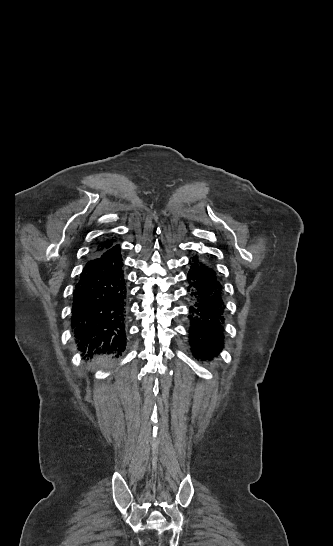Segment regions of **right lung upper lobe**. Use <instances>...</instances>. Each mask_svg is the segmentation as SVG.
<instances>
[{
	"mask_svg": "<svg viewBox=\"0 0 333 546\" xmlns=\"http://www.w3.org/2000/svg\"><path fill=\"white\" fill-rule=\"evenodd\" d=\"M116 246L115 242L112 240L104 241L103 243H100L93 251L92 256H97L104 251Z\"/></svg>",
	"mask_w": 333,
	"mask_h": 546,
	"instance_id": "right-lung-upper-lobe-1",
	"label": "right lung upper lobe"
}]
</instances>
